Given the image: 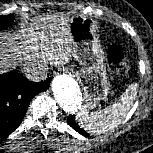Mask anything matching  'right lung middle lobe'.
Segmentation results:
<instances>
[{
  "label": "right lung middle lobe",
  "mask_w": 153,
  "mask_h": 153,
  "mask_svg": "<svg viewBox=\"0 0 153 153\" xmlns=\"http://www.w3.org/2000/svg\"><path fill=\"white\" fill-rule=\"evenodd\" d=\"M14 20L13 15L0 16V31L8 27Z\"/></svg>",
  "instance_id": "1"
}]
</instances>
